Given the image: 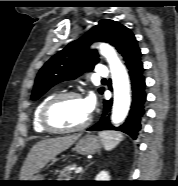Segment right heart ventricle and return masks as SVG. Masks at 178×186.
Segmentation results:
<instances>
[{
  "label": "right heart ventricle",
  "instance_id": "1",
  "mask_svg": "<svg viewBox=\"0 0 178 186\" xmlns=\"http://www.w3.org/2000/svg\"><path fill=\"white\" fill-rule=\"evenodd\" d=\"M55 94H50L48 96H46L44 99H42L35 107L34 111H33V115H32V125H33V129L38 132V133H47V131L42 127L41 123H40V112L41 109L43 107V105Z\"/></svg>",
  "mask_w": 178,
  "mask_h": 186
}]
</instances>
